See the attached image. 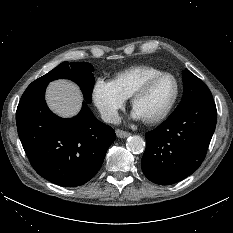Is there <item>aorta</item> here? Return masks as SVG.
Returning <instances> with one entry per match:
<instances>
[{"label":"aorta","mask_w":233,"mask_h":233,"mask_svg":"<svg viewBox=\"0 0 233 233\" xmlns=\"http://www.w3.org/2000/svg\"><path fill=\"white\" fill-rule=\"evenodd\" d=\"M126 146L130 152L134 154H139L142 153L145 149V141L140 136H130L127 139Z\"/></svg>","instance_id":"1"}]
</instances>
